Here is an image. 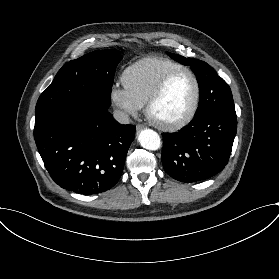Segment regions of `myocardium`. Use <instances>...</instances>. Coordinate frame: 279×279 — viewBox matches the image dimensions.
<instances>
[{
    "label": "myocardium",
    "mask_w": 279,
    "mask_h": 279,
    "mask_svg": "<svg viewBox=\"0 0 279 279\" xmlns=\"http://www.w3.org/2000/svg\"><path fill=\"white\" fill-rule=\"evenodd\" d=\"M186 73L191 76L193 82H194V87H195V92H194V97L192 100V103L188 110L178 119L173 120V121H165L157 118L154 114V108L156 103L159 101V99L163 96L165 93L166 89L170 85V83L179 75ZM200 97H201V87L199 80L197 76L194 74L193 71L190 69L184 68V69H179L176 71H173L169 74H167L161 82L158 84V86L154 89V91L151 93L148 102H147V115L148 118L158 125L159 127L166 129V130H177L180 129L186 125H188L194 118V116L197 113L198 107H199V102H200Z\"/></svg>",
    "instance_id": "1"
}]
</instances>
